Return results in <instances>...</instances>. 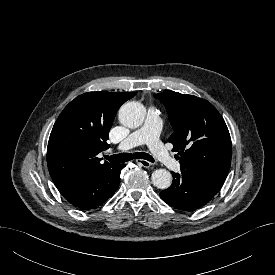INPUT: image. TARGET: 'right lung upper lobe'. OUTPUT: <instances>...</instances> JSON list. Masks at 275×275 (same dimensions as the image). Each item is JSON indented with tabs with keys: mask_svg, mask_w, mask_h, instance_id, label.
<instances>
[{
	"mask_svg": "<svg viewBox=\"0 0 275 275\" xmlns=\"http://www.w3.org/2000/svg\"><path fill=\"white\" fill-rule=\"evenodd\" d=\"M135 92H88L71 101L50 134L47 165L57 188L74 184L112 167L97 154L109 148V130L117 110Z\"/></svg>",
	"mask_w": 275,
	"mask_h": 275,
	"instance_id": "right-lung-upper-lobe-1",
	"label": "right lung upper lobe"
}]
</instances>
